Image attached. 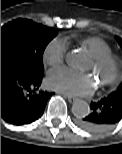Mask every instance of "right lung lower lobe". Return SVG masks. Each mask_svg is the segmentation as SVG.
Segmentation results:
<instances>
[{
    "mask_svg": "<svg viewBox=\"0 0 122 154\" xmlns=\"http://www.w3.org/2000/svg\"><path fill=\"white\" fill-rule=\"evenodd\" d=\"M42 79L25 60L1 56V117L6 122L30 124L43 115L50 94L41 89Z\"/></svg>",
    "mask_w": 122,
    "mask_h": 154,
    "instance_id": "obj_1",
    "label": "right lung lower lobe"
}]
</instances>
